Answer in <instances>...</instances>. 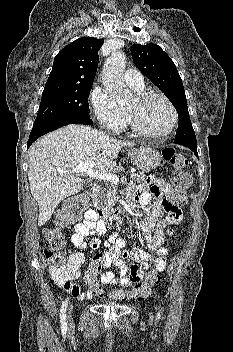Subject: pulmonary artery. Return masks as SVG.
<instances>
[{
  "label": "pulmonary artery",
  "mask_w": 233,
  "mask_h": 352,
  "mask_svg": "<svg viewBox=\"0 0 233 352\" xmlns=\"http://www.w3.org/2000/svg\"><path fill=\"white\" fill-rule=\"evenodd\" d=\"M124 80L128 86L136 91L144 89V80L142 74L136 69H128L124 73Z\"/></svg>",
  "instance_id": "1"
}]
</instances>
